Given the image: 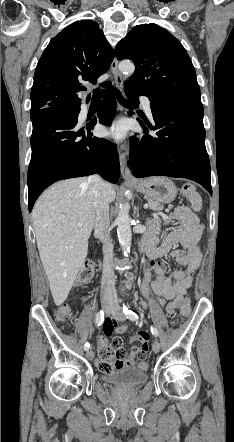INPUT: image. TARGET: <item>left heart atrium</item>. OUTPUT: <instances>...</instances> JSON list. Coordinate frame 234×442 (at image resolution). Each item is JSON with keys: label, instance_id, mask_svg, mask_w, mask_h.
Segmentation results:
<instances>
[{"label": "left heart atrium", "instance_id": "39dd6f15", "mask_svg": "<svg viewBox=\"0 0 234 442\" xmlns=\"http://www.w3.org/2000/svg\"><path fill=\"white\" fill-rule=\"evenodd\" d=\"M102 133L109 139L119 141L125 137L126 127L123 122H113L104 126Z\"/></svg>", "mask_w": 234, "mask_h": 442}]
</instances>
